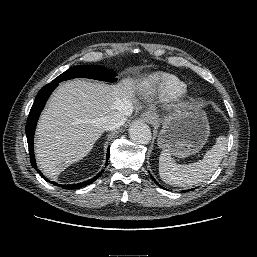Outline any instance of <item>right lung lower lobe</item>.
Segmentation results:
<instances>
[{"label":"right lung lower lobe","mask_w":257,"mask_h":257,"mask_svg":"<svg viewBox=\"0 0 257 257\" xmlns=\"http://www.w3.org/2000/svg\"><path fill=\"white\" fill-rule=\"evenodd\" d=\"M58 83L57 82H52L47 84L46 86H44L37 94L36 99L34 101V104L30 110L28 119H27V123H26V135H27V142H28V147H29V152H30V161H31V165L38 171V173L41 175L42 178H44L46 181H48L47 178L44 177V175L37 169L36 166V161H35V157H34V152H33V138H34V131L36 128V123L37 120L39 118V115L48 99V97L50 96V94L52 93V91L57 87ZM110 157V147H108L107 150V160ZM108 162V161H106ZM107 165V163H106ZM104 170H102L100 173H98L95 177H93L90 180H87L85 182L82 183H78V184H72V185H60L57 184L55 182H51L52 184L56 185V186H61L64 189H76V188H81L84 186H87L89 184H91L92 182H94L96 179H98Z\"/></svg>","instance_id":"right-lung-lower-lobe-1"}]
</instances>
